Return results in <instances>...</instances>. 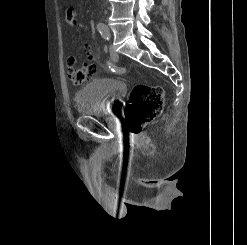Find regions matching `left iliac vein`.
Instances as JSON below:
<instances>
[{"mask_svg":"<svg viewBox=\"0 0 247 245\" xmlns=\"http://www.w3.org/2000/svg\"><path fill=\"white\" fill-rule=\"evenodd\" d=\"M109 54L112 60L114 61L118 60V53L111 45L109 46Z\"/></svg>","mask_w":247,"mask_h":245,"instance_id":"4c4485c4","label":"left iliac vein"}]
</instances>
